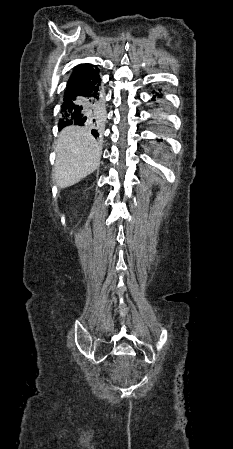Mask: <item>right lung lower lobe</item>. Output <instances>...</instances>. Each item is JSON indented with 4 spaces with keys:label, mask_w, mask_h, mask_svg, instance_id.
<instances>
[{
    "label": "right lung lower lobe",
    "mask_w": 233,
    "mask_h": 449,
    "mask_svg": "<svg viewBox=\"0 0 233 449\" xmlns=\"http://www.w3.org/2000/svg\"><path fill=\"white\" fill-rule=\"evenodd\" d=\"M59 128L82 125L91 130L94 137L101 134L104 118V102L98 68L90 66L79 76L69 79L61 106Z\"/></svg>",
    "instance_id": "1"
}]
</instances>
